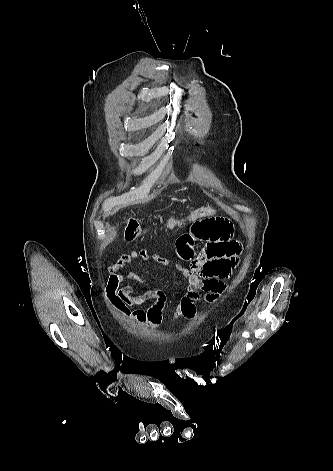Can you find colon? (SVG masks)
<instances>
[{
	"mask_svg": "<svg viewBox=\"0 0 333 471\" xmlns=\"http://www.w3.org/2000/svg\"><path fill=\"white\" fill-rule=\"evenodd\" d=\"M215 214V209L213 207H201L194 210L188 217L185 218H178V217H171L166 221V226L168 228H173L175 226L180 225L183 221H192L197 218L212 216ZM146 232L145 228H143L136 220L130 219L125 223L124 226V237L128 241H132L140 236H142Z\"/></svg>",
	"mask_w": 333,
	"mask_h": 471,
	"instance_id": "obj_1",
	"label": "colon"
}]
</instances>
